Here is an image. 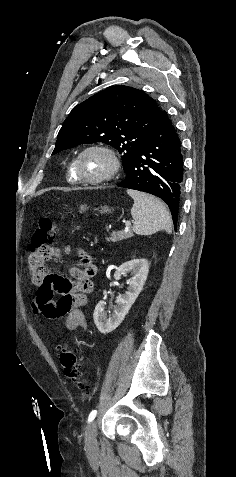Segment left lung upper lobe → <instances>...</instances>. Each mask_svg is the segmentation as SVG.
<instances>
[{
	"label": "left lung upper lobe",
	"instance_id": "5c2ea615",
	"mask_svg": "<svg viewBox=\"0 0 236 477\" xmlns=\"http://www.w3.org/2000/svg\"><path fill=\"white\" fill-rule=\"evenodd\" d=\"M161 116L155 101L143 91L128 86L109 87L72 109L52 154L80 144L103 142L121 154L125 172Z\"/></svg>",
	"mask_w": 236,
	"mask_h": 477
}]
</instances>
